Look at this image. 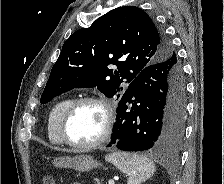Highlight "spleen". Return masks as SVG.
Returning <instances> with one entry per match:
<instances>
[{
    "label": "spleen",
    "instance_id": "obj_1",
    "mask_svg": "<svg viewBox=\"0 0 224 184\" xmlns=\"http://www.w3.org/2000/svg\"><path fill=\"white\" fill-rule=\"evenodd\" d=\"M105 159L127 175V184L145 182L156 169L152 160L135 153L115 152L106 155Z\"/></svg>",
    "mask_w": 224,
    "mask_h": 184
}]
</instances>
